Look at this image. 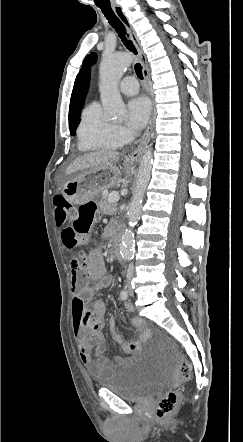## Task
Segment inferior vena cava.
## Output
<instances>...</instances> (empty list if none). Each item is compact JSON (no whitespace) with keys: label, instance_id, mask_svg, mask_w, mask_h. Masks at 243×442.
<instances>
[{"label":"inferior vena cava","instance_id":"1","mask_svg":"<svg viewBox=\"0 0 243 442\" xmlns=\"http://www.w3.org/2000/svg\"><path fill=\"white\" fill-rule=\"evenodd\" d=\"M133 273H134V265L133 263H130L127 269V278L131 279L133 277Z\"/></svg>","mask_w":243,"mask_h":442}]
</instances>
